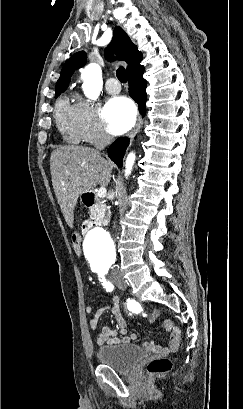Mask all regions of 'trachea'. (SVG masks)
I'll return each mask as SVG.
<instances>
[{
  "mask_svg": "<svg viewBox=\"0 0 243 409\" xmlns=\"http://www.w3.org/2000/svg\"><path fill=\"white\" fill-rule=\"evenodd\" d=\"M117 78L119 79L120 82L125 83L126 82V70L124 67H119L117 69Z\"/></svg>",
  "mask_w": 243,
  "mask_h": 409,
  "instance_id": "1",
  "label": "trachea"
}]
</instances>
